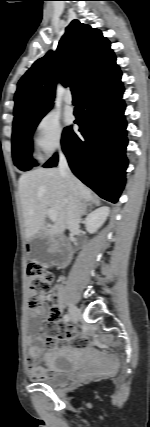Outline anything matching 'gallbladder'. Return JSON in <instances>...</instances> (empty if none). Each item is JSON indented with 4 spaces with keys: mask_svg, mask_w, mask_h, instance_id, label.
Instances as JSON below:
<instances>
[{
    "mask_svg": "<svg viewBox=\"0 0 150 427\" xmlns=\"http://www.w3.org/2000/svg\"><path fill=\"white\" fill-rule=\"evenodd\" d=\"M29 244L31 258L43 265H51L54 262V256L49 250L51 241L48 238L38 234L30 239Z\"/></svg>",
    "mask_w": 150,
    "mask_h": 427,
    "instance_id": "1",
    "label": "gallbladder"
}]
</instances>
